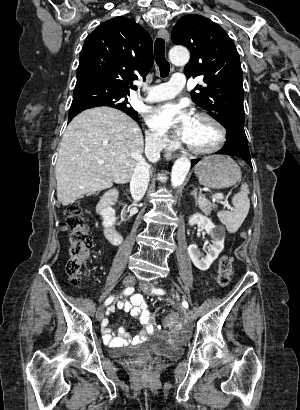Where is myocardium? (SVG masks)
I'll list each match as a JSON object with an SVG mask.
<instances>
[{
  "label": "myocardium",
  "mask_w": 300,
  "mask_h": 410,
  "mask_svg": "<svg viewBox=\"0 0 300 410\" xmlns=\"http://www.w3.org/2000/svg\"><path fill=\"white\" fill-rule=\"evenodd\" d=\"M196 118L198 119H203V120H207L209 122H211L212 124H214L219 133H220V139L219 141L212 147L207 148V149H201V148H197L194 147L192 145H190L189 143L186 142V146L187 148L194 154H198V155H208V154H212L215 153L217 151H219L221 148H223V146L226 144L227 142V138H228V132L227 129L225 127V125L216 117L208 114V113H204V112H200L196 114Z\"/></svg>",
  "instance_id": "myocardium-1"
}]
</instances>
